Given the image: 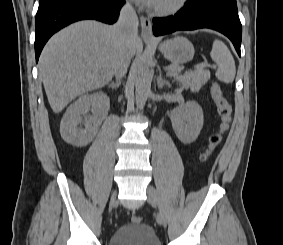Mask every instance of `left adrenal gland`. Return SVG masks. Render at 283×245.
<instances>
[{
	"label": "left adrenal gland",
	"mask_w": 283,
	"mask_h": 245,
	"mask_svg": "<svg viewBox=\"0 0 283 245\" xmlns=\"http://www.w3.org/2000/svg\"><path fill=\"white\" fill-rule=\"evenodd\" d=\"M158 88L162 89L164 85L171 87V84L166 79H163L161 75H159L157 79Z\"/></svg>",
	"instance_id": "left-adrenal-gland-1"
}]
</instances>
